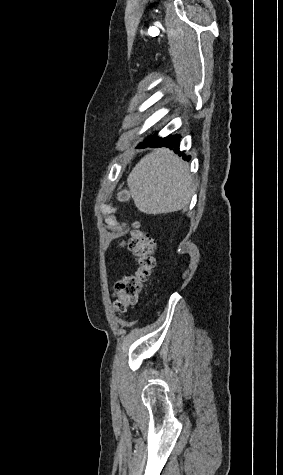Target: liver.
I'll return each instance as SVG.
<instances>
[{"instance_id":"1","label":"liver","mask_w":283,"mask_h":475,"mask_svg":"<svg viewBox=\"0 0 283 475\" xmlns=\"http://www.w3.org/2000/svg\"><path fill=\"white\" fill-rule=\"evenodd\" d=\"M127 184L136 208L143 214L178 212L188 204L192 192L187 162L168 148L144 156L130 172Z\"/></svg>"}]
</instances>
